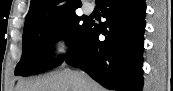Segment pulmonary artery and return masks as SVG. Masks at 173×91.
<instances>
[{
    "mask_svg": "<svg viewBox=\"0 0 173 91\" xmlns=\"http://www.w3.org/2000/svg\"><path fill=\"white\" fill-rule=\"evenodd\" d=\"M84 11H85L86 13H90V12L92 11V8H85Z\"/></svg>",
    "mask_w": 173,
    "mask_h": 91,
    "instance_id": "1",
    "label": "pulmonary artery"
}]
</instances>
